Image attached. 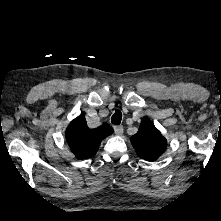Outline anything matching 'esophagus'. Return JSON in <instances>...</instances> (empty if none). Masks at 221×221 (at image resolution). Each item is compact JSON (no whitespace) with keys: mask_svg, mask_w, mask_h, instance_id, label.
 Returning a JSON list of instances; mask_svg holds the SVG:
<instances>
[{"mask_svg":"<svg viewBox=\"0 0 221 221\" xmlns=\"http://www.w3.org/2000/svg\"><path fill=\"white\" fill-rule=\"evenodd\" d=\"M114 131L116 135H122L123 134V127L120 125L114 126Z\"/></svg>","mask_w":221,"mask_h":221,"instance_id":"esophagus-1","label":"esophagus"}]
</instances>
